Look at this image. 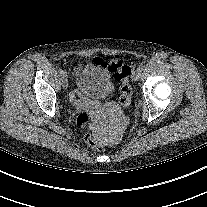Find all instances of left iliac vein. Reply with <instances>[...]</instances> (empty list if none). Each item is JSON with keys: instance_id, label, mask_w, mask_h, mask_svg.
<instances>
[{"instance_id": "1", "label": "left iliac vein", "mask_w": 207, "mask_h": 207, "mask_svg": "<svg viewBox=\"0 0 207 207\" xmlns=\"http://www.w3.org/2000/svg\"><path fill=\"white\" fill-rule=\"evenodd\" d=\"M140 75H141V71L137 69L132 75L133 80L138 81L140 78Z\"/></svg>"}]
</instances>
